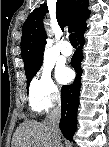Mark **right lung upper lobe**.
I'll use <instances>...</instances> for the list:
<instances>
[{
	"mask_svg": "<svg viewBox=\"0 0 109 147\" xmlns=\"http://www.w3.org/2000/svg\"><path fill=\"white\" fill-rule=\"evenodd\" d=\"M88 0H57L56 17L61 28L69 26V30L78 34L85 27L89 17ZM47 6L41 5L26 19L22 28L21 54L25 70L42 62L43 48L46 43V32L43 17Z\"/></svg>",
	"mask_w": 109,
	"mask_h": 147,
	"instance_id": "cb5924a9",
	"label": "right lung upper lobe"
}]
</instances>
